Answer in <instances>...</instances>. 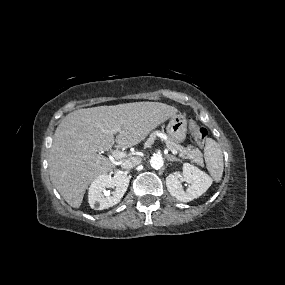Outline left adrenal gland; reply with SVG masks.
Returning a JSON list of instances; mask_svg holds the SVG:
<instances>
[{
  "label": "left adrenal gland",
  "instance_id": "a2214340",
  "mask_svg": "<svg viewBox=\"0 0 285 285\" xmlns=\"http://www.w3.org/2000/svg\"><path fill=\"white\" fill-rule=\"evenodd\" d=\"M167 159L169 160V161H181L180 159H178V158H176L175 156H173V155H167Z\"/></svg>",
  "mask_w": 285,
  "mask_h": 285
}]
</instances>
